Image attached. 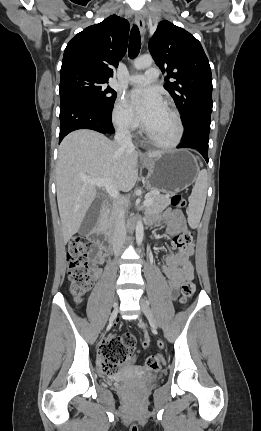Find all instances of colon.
Returning a JSON list of instances; mask_svg holds the SVG:
<instances>
[{"label":"colon","instance_id":"colon-1","mask_svg":"<svg viewBox=\"0 0 261 431\" xmlns=\"http://www.w3.org/2000/svg\"><path fill=\"white\" fill-rule=\"evenodd\" d=\"M175 207H184L186 202L181 195H175L172 199ZM176 247L185 249L192 242V235L189 232H183L174 238ZM88 243L80 236H74L70 239L67 247V263L69 290L77 302H80L88 292L91 285V267L88 257ZM186 259L187 255L183 254ZM196 289L194 281L187 279L182 287V302L185 303L194 294ZM135 339L132 334L126 333L122 336L110 335L100 346V357L102 367L108 374L116 373L124 364L133 363L135 355L133 347ZM159 348H164V343H159ZM144 371L147 373H158L161 366L167 364V359L160 356H150L146 360Z\"/></svg>","mask_w":261,"mask_h":431}]
</instances>
